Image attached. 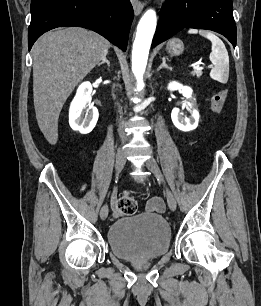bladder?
Listing matches in <instances>:
<instances>
[{"instance_id": "bladder-1", "label": "bladder", "mask_w": 261, "mask_h": 306, "mask_svg": "<svg viewBox=\"0 0 261 306\" xmlns=\"http://www.w3.org/2000/svg\"><path fill=\"white\" fill-rule=\"evenodd\" d=\"M111 252L120 259L137 261L165 254L171 244V228L155 213L119 218L107 232Z\"/></svg>"}]
</instances>
